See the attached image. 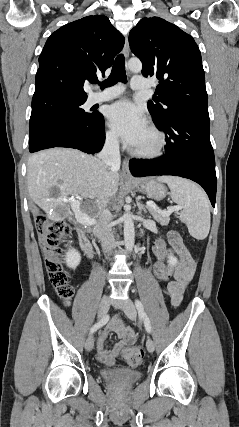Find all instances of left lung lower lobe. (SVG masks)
<instances>
[{
  "label": "left lung lower lobe",
  "instance_id": "left-lung-lower-lobe-1",
  "mask_svg": "<svg viewBox=\"0 0 239 427\" xmlns=\"http://www.w3.org/2000/svg\"><path fill=\"white\" fill-rule=\"evenodd\" d=\"M166 134L165 153L152 160L132 159L131 174L135 177L175 175L200 184L215 207L216 173L214 152L209 138V118L177 113L163 122H155Z\"/></svg>",
  "mask_w": 239,
  "mask_h": 427
}]
</instances>
